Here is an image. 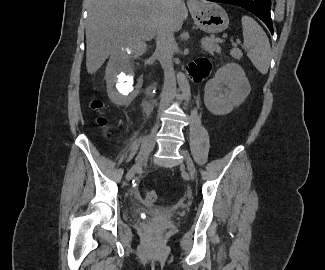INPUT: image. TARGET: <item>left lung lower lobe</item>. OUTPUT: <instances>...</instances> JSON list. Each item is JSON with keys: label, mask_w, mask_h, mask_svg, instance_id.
<instances>
[{"label": "left lung lower lobe", "mask_w": 325, "mask_h": 270, "mask_svg": "<svg viewBox=\"0 0 325 270\" xmlns=\"http://www.w3.org/2000/svg\"><path fill=\"white\" fill-rule=\"evenodd\" d=\"M219 3L240 6L260 18L273 34V24L271 20V0H208Z\"/></svg>", "instance_id": "left-lung-lower-lobe-1"}]
</instances>
